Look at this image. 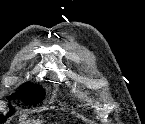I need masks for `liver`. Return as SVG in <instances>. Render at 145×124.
Here are the masks:
<instances>
[{
  "instance_id": "liver-1",
  "label": "liver",
  "mask_w": 145,
  "mask_h": 124,
  "mask_svg": "<svg viewBox=\"0 0 145 124\" xmlns=\"http://www.w3.org/2000/svg\"><path fill=\"white\" fill-rule=\"evenodd\" d=\"M41 121H34L33 123L27 122V124H40Z\"/></svg>"
}]
</instances>
